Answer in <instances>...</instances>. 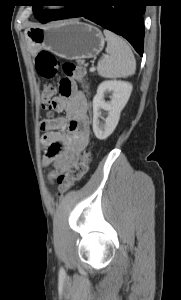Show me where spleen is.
I'll list each match as a JSON object with an SVG mask.
<instances>
[{"mask_svg": "<svg viewBox=\"0 0 181 300\" xmlns=\"http://www.w3.org/2000/svg\"><path fill=\"white\" fill-rule=\"evenodd\" d=\"M107 55L98 62V74L104 78L128 77L135 73L134 54L125 40L115 33L104 30Z\"/></svg>", "mask_w": 181, "mask_h": 300, "instance_id": "1", "label": "spleen"}]
</instances>
